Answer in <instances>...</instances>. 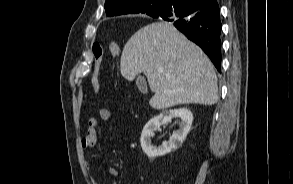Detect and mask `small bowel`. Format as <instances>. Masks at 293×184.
<instances>
[{"mask_svg": "<svg viewBox=\"0 0 293 184\" xmlns=\"http://www.w3.org/2000/svg\"><path fill=\"white\" fill-rule=\"evenodd\" d=\"M114 114L108 109H100L99 118L92 117L88 121V129L86 134L81 140V147L84 150H87L93 147L97 140L98 128H99V120L102 121H112L114 120ZM90 167V164H87ZM108 174L112 178V184H117L116 178L118 176V170L115 167H110L108 169ZM92 184H100L98 180L93 179Z\"/></svg>", "mask_w": 293, "mask_h": 184, "instance_id": "c3829d8e", "label": "small bowel"}]
</instances>
